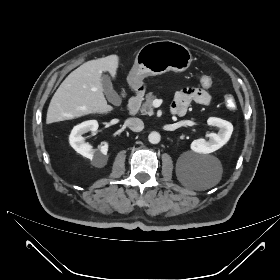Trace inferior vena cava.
I'll use <instances>...</instances> for the list:
<instances>
[{"instance_id":"inferior-vena-cava-1","label":"inferior vena cava","mask_w":280,"mask_h":280,"mask_svg":"<svg viewBox=\"0 0 280 280\" xmlns=\"http://www.w3.org/2000/svg\"><path fill=\"white\" fill-rule=\"evenodd\" d=\"M126 124L134 132H140L144 128V123L139 118H128Z\"/></svg>"}]
</instances>
